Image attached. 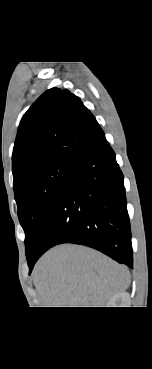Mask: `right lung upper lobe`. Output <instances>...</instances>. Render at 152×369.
<instances>
[{"label":"right lung upper lobe","instance_id":"cb5924a9","mask_svg":"<svg viewBox=\"0 0 152 369\" xmlns=\"http://www.w3.org/2000/svg\"><path fill=\"white\" fill-rule=\"evenodd\" d=\"M103 135L77 96L67 89L47 90L21 119L12 154L13 186L52 163L73 162Z\"/></svg>","mask_w":152,"mask_h":369}]
</instances>
